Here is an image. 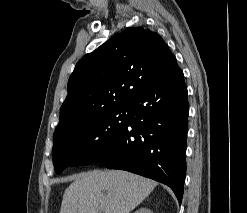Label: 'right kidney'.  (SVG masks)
I'll list each match as a JSON object with an SVG mask.
<instances>
[{
	"label": "right kidney",
	"mask_w": 247,
	"mask_h": 213,
	"mask_svg": "<svg viewBox=\"0 0 247 213\" xmlns=\"http://www.w3.org/2000/svg\"><path fill=\"white\" fill-rule=\"evenodd\" d=\"M134 213H153L149 208L141 207L136 210Z\"/></svg>",
	"instance_id": "right-kidney-1"
}]
</instances>
